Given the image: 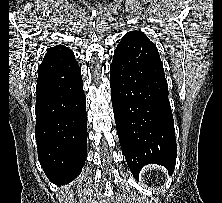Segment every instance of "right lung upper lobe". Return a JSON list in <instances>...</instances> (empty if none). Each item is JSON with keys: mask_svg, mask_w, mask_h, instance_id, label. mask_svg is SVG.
Instances as JSON below:
<instances>
[{"mask_svg": "<svg viewBox=\"0 0 222 203\" xmlns=\"http://www.w3.org/2000/svg\"><path fill=\"white\" fill-rule=\"evenodd\" d=\"M74 53L71 49L64 45H56L54 47H50L47 50V53L42 61L43 63H53L59 61H70L74 60Z\"/></svg>", "mask_w": 222, "mask_h": 203, "instance_id": "right-lung-upper-lobe-1", "label": "right lung upper lobe"}]
</instances>
